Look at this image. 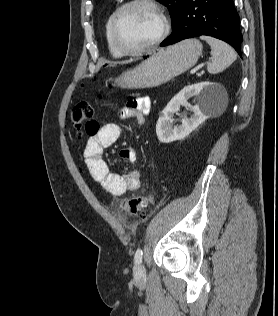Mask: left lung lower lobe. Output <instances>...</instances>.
<instances>
[{
    "mask_svg": "<svg viewBox=\"0 0 278 316\" xmlns=\"http://www.w3.org/2000/svg\"><path fill=\"white\" fill-rule=\"evenodd\" d=\"M202 35L227 42L241 56L243 37L233 0H184L171 35L160 46Z\"/></svg>",
    "mask_w": 278,
    "mask_h": 316,
    "instance_id": "0a47b994",
    "label": "left lung lower lobe"
}]
</instances>
